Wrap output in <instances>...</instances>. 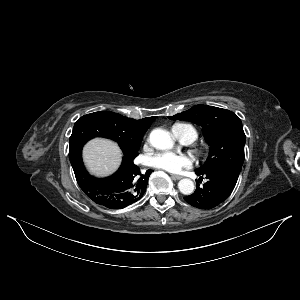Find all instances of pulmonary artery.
I'll list each match as a JSON object with an SVG mask.
<instances>
[{"mask_svg":"<svg viewBox=\"0 0 300 300\" xmlns=\"http://www.w3.org/2000/svg\"><path fill=\"white\" fill-rule=\"evenodd\" d=\"M174 135L182 142L189 144L192 143L196 136L189 127H178L173 128Z\"/></svg>","mask_w":300,"mask_h":300,"instance_id":"1","label":"pulmonary artery"}]
</instances>
